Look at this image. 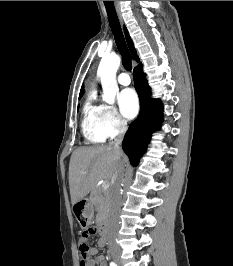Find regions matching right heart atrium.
<instances>
[{"mask_svg": "<svg viewBox=\"0 0 233 266\" xmlns=\"http://www.w3.org/2000/svg\"><path fill=\"white\" fill-rule=\"evenodd\" d=\"M100 129L106 138H115L127 129L126 121L112 105H102Z\"/></svg>", "mask_w": 233, "mask_h": 266, "instance_id": "obj_1", "label": "right heart atrium"}]
</instances>
